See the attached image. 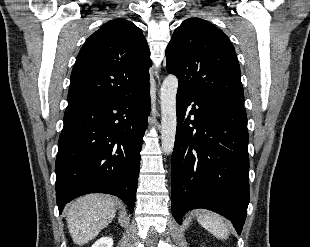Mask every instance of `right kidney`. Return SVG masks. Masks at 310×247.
<instances>
[{
  "instance_id": "obj_1",
  "label": "right kidney",
  "mask_w": 310,
  "mask_h": 247,
  "mask_svg": "<svg viewBox=\"0 0 310 247\" xmlns=\"http://www.w3.org/2000/svg\"><path fill=\"white\" fill-rule=\"evenodd\" d=\"M91 247H113L112 237H102L98 239Z\"/></svg>"
}]
</instances>
